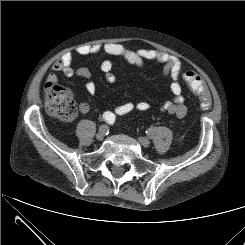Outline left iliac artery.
Masks as SVG:
<instances>
[{"label":"left iliac artery","instance_id":"44dca946","mask_svg":"<svg viewBox=\"0 0 245 245\" xmlns=\"http://www.w3.org/2000/svg\"><path fill=\"white\" fill-rule=\"evenodd\" d=\"M146 133L149 137L152 138L154 136V134L156 133V129L155 128H149L146 130Z\"/></svg>","mask_w":245,"mask_h":245}]
</instances>
